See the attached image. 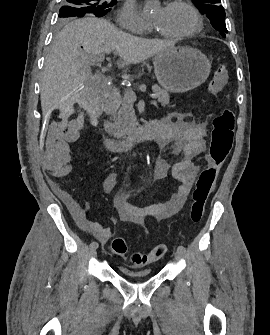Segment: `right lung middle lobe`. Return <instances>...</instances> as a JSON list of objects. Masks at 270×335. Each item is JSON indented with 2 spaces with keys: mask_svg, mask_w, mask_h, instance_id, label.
Masks as SVG:
<instances>
[{
  "mask_svg": "<svg viewBox=\"0 0 270 335\" xmlns=\"http://www.w3.org/2000/svg\"><path fill=\"white\" fill-rule=\"evenodd\" d=\"M58 17L61 21L66 18H81L87 14L102 17L111 11L116 0H64Z\"/></svg>",
  "mask_w": 270,
  "mask_h": 335,
  "instance_id": "dd1d6c3e",
  "label": "right lung middle lobe"
}]
</instances>
